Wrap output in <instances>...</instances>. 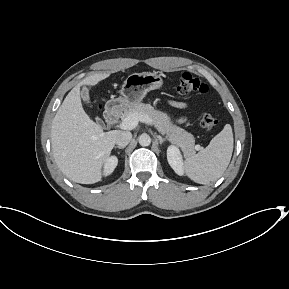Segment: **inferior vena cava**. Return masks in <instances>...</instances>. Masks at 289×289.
<instances>
[{
	"mask_svg": "<svg viewBox=\"0 0 289 289\" xmlns=\"http://www.w3.org/2000/svg\"><path fill=\"white\" fill-rule=\"evenodd\" d=\"M132 139V134L129 131H121L117 138L116 143L120 147H126Z\"/></svg>",
	"mask_w": 289,
	"mask_h": 289,
	"instance_id": "602c4592",
	"label": "inferior vena cava"
}]
</instances>
